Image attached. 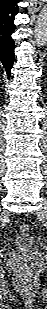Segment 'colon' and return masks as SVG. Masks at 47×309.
Instances as JSON below:
<instances>
[{"label":"colon","instance_id":"5ec220e1","mask_svg":"<svg viewBox=\"0 0 47 309\" xmlns=\"http://www.w3.org/2000/svg\"><path fill=\"white\" fill-rule=\"evenodd\" d=\"M21 230L23 231V232H28L29 231V226L28 225H26V224H23V225H21Z\"/></svg>","mask_w":47,"mask_h":309}]
</instances>
